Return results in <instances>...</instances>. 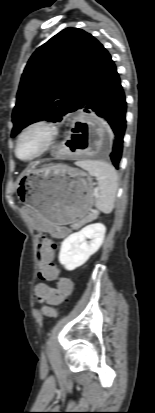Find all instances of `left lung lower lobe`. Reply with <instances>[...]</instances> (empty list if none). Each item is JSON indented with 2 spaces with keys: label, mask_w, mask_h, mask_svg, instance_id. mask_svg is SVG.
<instances>
[{
  "label": "left lung lower lobe",
  "mask_w": 155,
  "mask_h": 413,
  "mask_svg": "<svg viewBox=\"0 0 155 413\" xmlns=\"http://www.w3.org/2000/svg\"><path fill=\"white\" fill-rule=\"evenodd\" d=\"M80 109L103 118L115 134L110 159L116 169L123 150L126 101L116 66L108 53L84 95Z\"/></svg>",
  "instance_id": "1"
}]
</instances>
